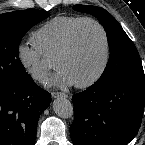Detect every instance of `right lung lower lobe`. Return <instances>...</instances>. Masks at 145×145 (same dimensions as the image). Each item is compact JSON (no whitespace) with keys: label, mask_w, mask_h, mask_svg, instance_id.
I'll return each mask as SVG.
<instances>
[{"label":"right lung lower lobe","mask_w":145,"mask_h":145,"mask_svg":"<svg viewBox=\"0 0 145 145\" xmlns=\"http://www.w3.org/2000/svg\"><path fill=\"white\" fill-rule=\"evenodd\" d=\"M50 95L29 77L20 84L0 86V145H34L40 114Z\"/></svg>","instance_id":"right-lung-lower-lobe-1"}]
</instances>
